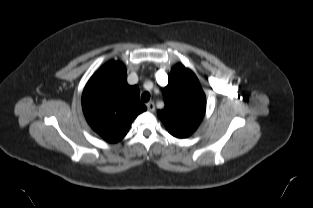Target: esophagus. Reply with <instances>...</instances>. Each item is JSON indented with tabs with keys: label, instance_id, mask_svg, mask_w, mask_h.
I'll return each mask as SVG.
<instances>
[{
	"label": "esophagus",
	"instance_id": "esophagus-1",
	"mask_svg": "<svg viewBox=\"0 0 313 208\" xmlns=\"http://www.w3.org/2000/svg\"><path fill=\"white\" fill-rule=\"evenodd\" d=\"M146 106H147V109H148L149 111H151V112H153V111L155 110V104H154V102H152V101L148 102V103L146 104Z\"/></svg>",
	"mask_w": 313,
	"mask_h": 208
}]
</instances>
